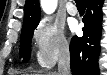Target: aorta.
Listing matches in <instances>:
<instances>
[{
    "label": "aorta",
    "instance_id": "aorta-1",
    "mask_svg": "<svg viewBox=\"0 0 107 75\" xmlns=\"http://www.w3.org/2000/svg\"><path fill=\"white\" fill-rule=\"evenodd\" d=\"M41 6L44 12H46L47 14H51L57 7V0H42Z\"/></svg>",
    "mask_w": 107,
    "mask_h": 75
}]
</instances>
